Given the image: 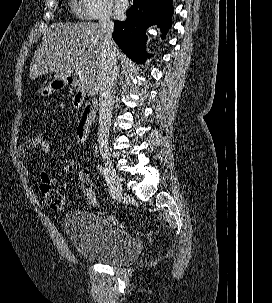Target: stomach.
I'll return each instance as SVG.
<instances>
[{
    "label": "stomach",
    "instance_id": "1",
    "mask_svg": "<svg viewBox=\"0 0 272 303\" xmlns=\"http://www.w3.org/2000/svg\"><path fill=\"white\" fill-rule=\"evenodd\" d=\"M66 86V81L53 80L47 85L43 86L38 92L42 96H49L50 94L62 90Z\"/></svg>",
    "mask_w": 272,
    "mask_h": 303
}]
</instances>
